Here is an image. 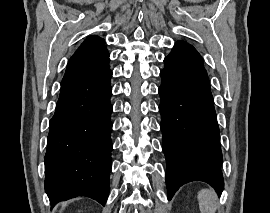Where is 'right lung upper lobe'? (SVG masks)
Masks as SVG:
<instances>
[{"instance_id":"right-lung-upper-lobe-1","label":"right lung upper lobe","mask_w":270,"mask_h":213,"mask_svg":"<svg viewBox=\"0 0 270 213\" xmlns=\"http://www.w3.org/2000/svg\"><path fill=\"white\" fill-rule=\"evenodd\" d=\"M105 40L89 36L70 58L61 85L97 76L109 70Z\"/></svg>"}]
</instances>
